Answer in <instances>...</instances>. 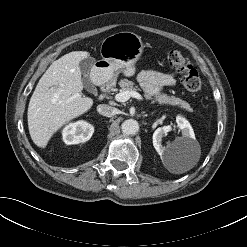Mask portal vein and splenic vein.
Listing matches in <instances>:
<instances>
[{
    "label": "portal vein and splenic vein",
    "mask_w": 247,
    "mask_h": 247,
    "mask_svg": "<svg viewBox=\"0 0 247 247\" xmlns=\"http://www.w3.org/2000/svg\"><path fill=\"white\" fill-rule=\"evenodd\" d=\"M131 97L136 98L138 100H142V96L136 91H121L115 95V100L118 102H126Z\"/></svg>",
    "instance_id": "18ae733b"
}]
</instances>
